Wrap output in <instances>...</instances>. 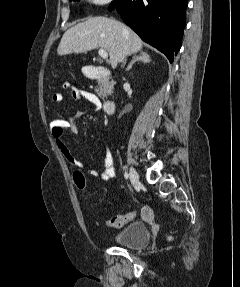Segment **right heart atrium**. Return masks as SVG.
<instances>
[{
  "label": "right heart atrium",
  "instance_id": "1",
  "mask_svg": "<svg viewBox=\"0 0 240 287\" xmlns=\"http://www.w3.org/2000/svg\"><path fill=\"white\" fill-rule=\"evenodd\" d=\"M88 1L94 5H104L111 2L112 0H88Z\"/></svg>",
  "mask_w": 240,
  "mask_h": 287
}]
</instances>
